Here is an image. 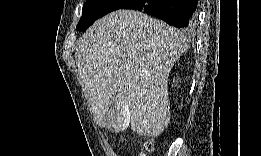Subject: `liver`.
<instances>
[{"mask_svg": "<svg viewBox=\"0 0 261 156\" xmlns=\"http://www.w3.org/2000/svg\"><path fill=\"white\" fill-rule=\"evenodd\" d=\"M189 48L184 33L133 10L112 12L90 27L75 52L95 123L107 127L118 111L115 132L131 127L139 136H158L170 121L168 77Z\"/></svg>", "mask_w": 261, "mask_h": 156, "instance_id": "obj_1", "label": "liver"}]
</instances>
